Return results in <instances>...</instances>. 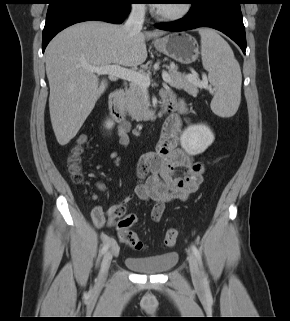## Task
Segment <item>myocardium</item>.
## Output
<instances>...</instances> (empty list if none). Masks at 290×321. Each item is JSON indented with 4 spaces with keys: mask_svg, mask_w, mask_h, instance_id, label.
<instances>
[{
    "mask_svg": "<svg viewBox=\"0 0 290 321\" xmlns=\"http://www.w3.org/2000/svg\"><path fill=\"white\" fill-rule=\"evenodd\" d=\"M191 3L189 0H183L180 2L179 7L172 11H164L158 8V5L153 9V15L165 22L177 21L184 18L191 10Z\"/></svg>",
    "mask_w": 290,
    "mask_h": 321,
    "instance_id": "obj_1",
    "label": "myocardium"
}]
</instances>
